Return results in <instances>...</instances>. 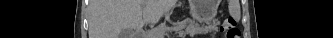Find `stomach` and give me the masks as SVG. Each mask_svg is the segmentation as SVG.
Returning <instances> with one entry per match:
<instances>
[{
	"instance_id": "1",
	"label": "stomach",
	"mask_w": 333,
	"mask_h": 38,
	"mask_svg": "<svg viewBox=\"0 0 333 38\" xmlns=\"http://www.w3.org/2000/svg\"><path fill=\"white\" fill-rule=\"evenodd\" d=\"M192 4H196V0H191ZM191 14L193 16L194 19H199L202 17L201 15V11L200 10H196L195 8H191Z\"/></svg>"
}]
</instances>
